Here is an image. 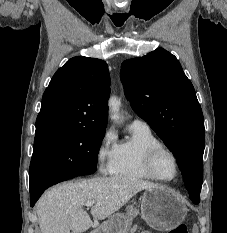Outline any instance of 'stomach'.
Here are the masks:
<instances>
[{
  "instance_id": "1",
  "label": "stomach",
  "mask_w": 227,
  "mask_h": 233,
  "mask_svg": "<svg viewBox=\"0 0 227 233\" xmlns=\"http://www.w3.org/2000/svg\"><path fill=\"white\" fill-rule=\"evenodd\" d=\"M152 228L171 231L184 220L187 208L183 200L172 191L158 187L147 189L138 203L127 206L126 214H114L104 222L98 233H127L132 219L139 214Z\"/></svg>"
}]
</instances>
